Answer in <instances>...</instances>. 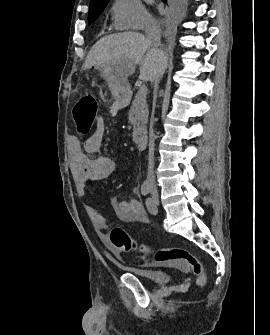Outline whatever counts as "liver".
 <instances>
[{"label": "liver", "instance_id": "6515ba94", "mask_svg": "<svg viewBox=\"0 0 270 335\" xmlns=\"http://www.w3.org/2000/svg\"><path fill=\"white\" fill-rule=\"evenodd\" d=\"M137 64H141V80L152 82L165 70L167 56L143 34L121 32L100 38L87 54L83 68H112L114 78L127 84V78L135 74Z\"/></svg>", "mask_w": 270, "mask_h": 335}]
</instances>
